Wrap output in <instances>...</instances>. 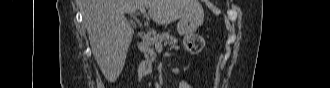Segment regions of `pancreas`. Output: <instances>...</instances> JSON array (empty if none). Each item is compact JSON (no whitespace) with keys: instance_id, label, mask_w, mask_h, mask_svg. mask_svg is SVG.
Returning a JSON list of instances; mask_svg holds the SVG:
<instances>
[{"instance_id":"1","label":"pancreas","mask_w":330,"mask_h":88,"mask_svg":"<svg viewBox=\"0 0 330 88\" xmlns=\"http://www.w3.org/2000/svg\"><path fill=\"white\" fill-rule=\"evenodd\" d=\"M177 42V39L169 32H163L156 35H146L141 43V49L146 56L154 59L156 58V53L154 51L156 44L168 43L171 48L178 49Z\"/></svg>"}]
</instances>
